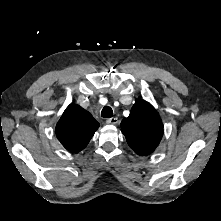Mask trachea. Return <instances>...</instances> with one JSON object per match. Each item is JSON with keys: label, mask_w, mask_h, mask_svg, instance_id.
Segmentation results:
<instances>
[{"label": "trachea", "mask_w": 221, "mask_h": 221, "mask_svg": "<svg viewBox=\"0 0 221 221\" xmlns=\"http://www.w3.org/2000/svg\"><path fill=\"white\" fill-rule=\"evenodd\" d=\"M101 116L103 118H111L113 117V110L109 106H105L101 111Z\"/></svg>", "instance_id": "trachea-1"}]
</instances>
